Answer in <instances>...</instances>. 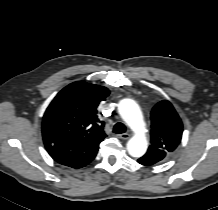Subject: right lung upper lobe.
I'll return each instance as SVG.
<instances>
[{"label": "right lung upper lobe", "mask_w": 218, "mask_h": 210, "mask_svg": "<svg viewBox=\"0 0 218 210\" xmlns=\"http://www.w3.org/2000/svg\"><path fill=\"white\" fill-rule=\"evenodd\" d=\"M109 93L106 87L84 81L66 86L45 111L43 137L56 136L81 144L102 141L106 134L97 107Z\"/></svg>", "instance_id": "1"}]
</instances>
